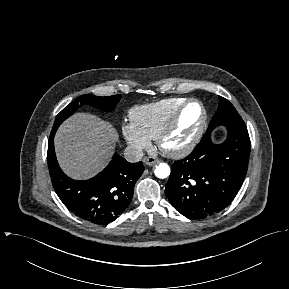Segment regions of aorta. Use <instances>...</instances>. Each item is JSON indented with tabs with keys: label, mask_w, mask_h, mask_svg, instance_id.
Instances as JSON below:
<instances>
[{
	"label": "aorta",
	"mask_w": 289,
	"mask_h": 289,
	"mask_svg": "<svg viewBox=\"0 0 289 289\" xmlns=\"http://www.w3.org/2000/svg\"><path fill=\"white\" fill-rule=\"evenodd\" d=\"M154 174L160 179L167 178L170 175V167L166 163H160L156 166Z\"/></svg>",
	"instance_id": "aorta-1"
}]
</instances>
